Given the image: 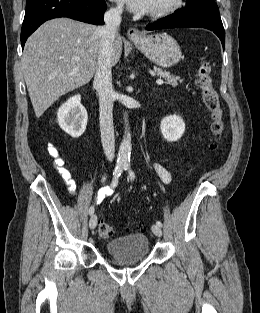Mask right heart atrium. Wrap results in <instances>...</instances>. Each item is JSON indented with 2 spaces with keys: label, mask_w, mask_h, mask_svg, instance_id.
I'll list each match as a JSON object with an SVG mask.
<instances>
[{
  "label": "right heart atrium",
  "mask_w": 260,
  "mask_h": 313,
  "mask_svg": "<svg viewBox=\"0 0 260 313\" xmlns=\"http://www.w3.org/2000/svg\"><path fill=\"white\" fill-rule=\"evenodd\" d=\"M114 11H116V12L120 11V7H115Z\"/></svg>",
  "instance_id": "right-heart-atrium-1"
}]
</instances>
